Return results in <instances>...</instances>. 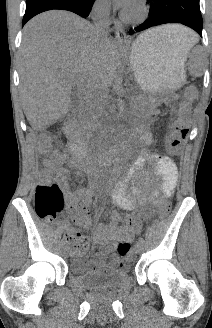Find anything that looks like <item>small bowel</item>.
Wrapping results in <instances>:
<instances>
[{
  "mask_svg": "<svg viewBox=\"0 0 212 328\" xmlns=\"http://www.w3.org/2000/svg\"><path fill=\"white\" fill-rule=\"evenodd\" d=\"M141 135L147 138L145 133ZM147 162L154 165L155 175L160 178L159 190L149 188L151 175L142 170ZM43 166L46 176L54 177L60 182L73 221L84 228H89L92 224L89 216L91 194L84 188L72 191L67 183L68 168H79V162L75 159L70 160L66 154L55 150L44 161ZM131 178L133 186L131 192H128V182ZM177 180L178 171L172 159L160 153H151L147 150L142 152L117 183L112 194L114 204L129 214L121 215L112 211L111 222L108 225L100 223L95 228L93 242L99 246V251L88 260L90 270L104 274L119 268L120 259L113 254L117 243L121 240H130L141 231L143 220L151 215L154 207L163 202V196L172 195ZM89 247L90 241L86 238L85 247L74 250L75 257H82ZM109 255L111 257L107 261Z\"/></svg>",
  "mask_w": 212,
  "mask_h": 328,
  "instance_id": "1",
  "label": "small bowel"
}]
</instances>
